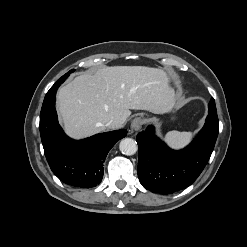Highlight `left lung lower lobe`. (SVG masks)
<instances>
[{"instance_id":"0a47b994","label":"left lung lower lobe","mask_w":247,"mask_h":247,"mask_svg":"<svg viewBox=\"0 0 247 247\" xmlns=\"http://www.w3.org/2000/svg\"><path fill=\"white\" fill-rule=\"evenodd\" d=\"M219 126L205 122L198 137L180 151L171 150L154 135V127L137 135L138 177L156 193L168 194L191 185L207 164L218 136Z\"/></svg>"}]
</instances>
